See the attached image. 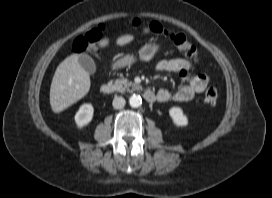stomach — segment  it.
Returning a JSON list of instances; mask_svg holds the SVG:
<instances>
[{
  "label": "stomach",
  "instance_id": "1",
  "mask_svg": "<svg viewBox=\"0 0 272 198\" xmlns=\"http://www.w3.org/2000/svg\"><path fill=\"white\" fill-rule=\"evenodd\" d=\"M160 45L156 42L145 43L139 50V58L142 61H150L155 54L158 52ZM136 62V57L134 55L127 54L120 59H118L114 64V69L123 68L125 66L131 65Z\"/></svg>",
  "mask_w": 272,
  "mask_h": 198
}]
</instances>
